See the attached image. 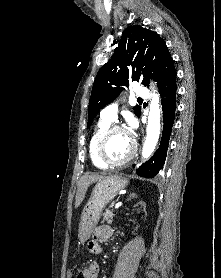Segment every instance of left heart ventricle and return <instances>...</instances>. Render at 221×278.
<instances>
[{"instance_id":"obj_1","label":"left heart ventricle","mask_w":221,"mask_h":278,"mask_svg":"<svg viewBox=\"0 0 221 278\" xmlns=\"http://www.w3.org/2000/svg\"><path fill=\"white\" fill-rule=\"evenodd\" d=\"M132 149L130 136L123 131H115L110 135L105 146V156L108 160L117 162L126 158Z\"/></svg>"}]
</instances>
